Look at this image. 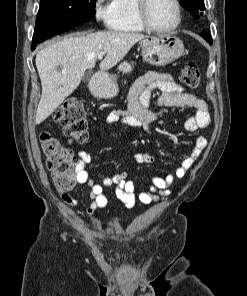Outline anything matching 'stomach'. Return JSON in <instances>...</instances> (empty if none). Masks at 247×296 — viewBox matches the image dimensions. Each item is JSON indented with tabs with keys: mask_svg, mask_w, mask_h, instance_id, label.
Returning a JSON list of instances; mask_svg holds the SVG:
<instances>
[{
	"mask_svg": "<svg viewBox=\"0 0 247 296\" xmlns=\"http://www.w3.org/2000/svg\"><path fill=\"white\" fill-rule=\"evenodd\" d=\"M184 54L182 40L174 34L148 36L142 41V57L151 65L164 66ZM118 69L123 73L132 70L131 64L122 62ZM118 93V86L107 74L100 76L95 85V94L101 98H111Z\"/></svg>",
	"mask_w": 247,
	"mask_h": 296,
	"instance_id": "1",
	"label": "stomach"
}]
</instances>
